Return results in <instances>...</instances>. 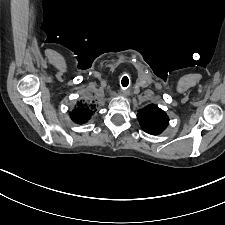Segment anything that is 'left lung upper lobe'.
Listing matches in <instances>:
<instances>
[{
  "label": "left lung upper lobe",
  "instance_id": "obj_1",
  "mask_svg": "<svg viewBox=\"0 0 225 225\" xmlns=\"http://www.w3.org/2000/svg\"><path fill=\"white\" fill-rule=\"evenodd\" d=\"M137 118L142 129L151 135L160 134L169 123L166 113L154 104L142 108Z\"/></svg>",
  "mask_w": 225,
  "mask_h": 225
}]
</instances>
